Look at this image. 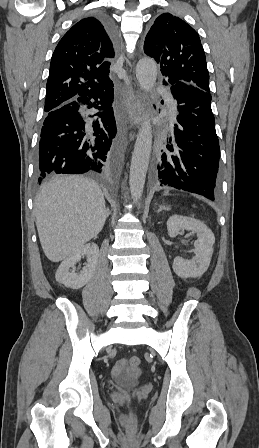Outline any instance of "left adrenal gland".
I'll use <instances>...</instances> for the list:
<instances>
[{
  "instance_id": "left-adrenal-gland-1",
  "label": "left adrenal gland",
  "mask_w": 259,
  "mask_h": 448,
  "mask_svg": "<svg viewBox=\"0 0 259 448\" xmlns=\"http://www.w3.org/2000/svg\"><path fill=\"white\" fill-rule=\"evenodd\" d=\"M162 210H170L169 206L168 208H165V206H159L158 212H162Z\"/></svg>"
}]
</instances>
